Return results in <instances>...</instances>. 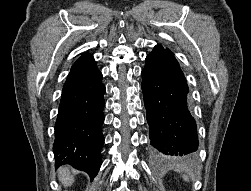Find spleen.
I'll return each instance as SVG.
<instances>
[{
  "mask_svg": "<svg viewBox=\"0 0 251 191\" xmlns=\"http://www.w3.org/2000/svg\"><path fill=\"white\" fill-rule=\"evenodd\" d=\"M184 179H186V181H188L189 177L188 175H183Z\"/></svg>",
  "mask_w": 251,
  "mask_h": 191,
  "instance_id": "spleen-1",
  "label": "spleen"
}]
</instances>
